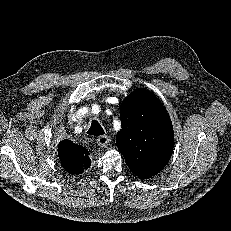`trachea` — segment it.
<instances>
[{
  "label": "trachea",
  "mask_w": 231,
  "mask_h": 231,
  "mask_svg": "<svg viewBox=\"0 0 231 231\" xmlns=\"http://www.w3.org/2000/svg\"><path fill=\"white\" fill-rule=\"evenodd\" d=\"M104 133H105L104 129L102 128V126L97 120L92 121L91 126L87 131V134L92 136H100L103 135Z\"/></svg>",
  "instance_id": "trachea-1"
}]
</instances>
